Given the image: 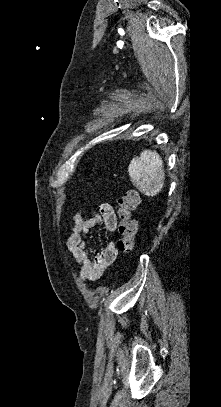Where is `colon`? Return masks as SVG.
I'll list each match as a JSON object with an SVG mask.
<instances>
[{
	"label": "colon",
	"mask_w": 221,
	"mask_h": 407,
	"mask_svg": "<svg viewBox=\"0 0 221 407\" xmlns=\"http://www.w3.org/2000/svg\"><path fill=\"white\" fill-rule=\"evenodd\" d=\"M139 203L140 196L135 189L128 190L125 195L118 199V249L124 254L131 253L134 248L137 233V224L134 218V211L138 207Z\"/></svg>",
	"instance_id": "obj_1"
}]
</instances>
